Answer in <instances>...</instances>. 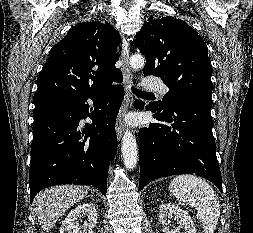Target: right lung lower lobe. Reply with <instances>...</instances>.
Wrapping results in <instances>:
<instances>
[{
  "mask_svg": "<svg viewBox=\"0 0 253 233\" xmlns=\"http://www.w3.org/2000/svg\"><path fill=\"white\" fill-rule=\"evenodd\" d=\"M114 81L121 83L122 75ZM123 97V86L111 83L81 96L53 97L35 104L31 202L40 190L59 184L93 185L106 195L109 164L117 152L115 123ZM88 99L95 104L92 113ZM87 116L93 123L82 128L80 121Z\"/></svg>",
  "mask_w": 253,
  "mask_h": 233,
  "instance_id": "obj_1",
  "label": "right lung lower lobe"
}]
</instances>
